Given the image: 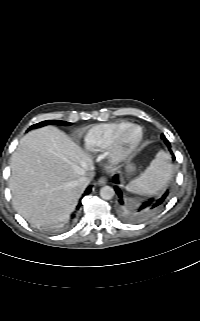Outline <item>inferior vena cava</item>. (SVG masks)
I'll return each instance as SVG.
<instances>
[{
  "instance_id": "1",
  "label": "inferior vena cava",
  "mask_w": 200,
  "mask_h": 321,
  "mask_svg": "<svg viewBox=\"0 0 200 321\" xmlns=\"http://www.w3.org/2000/svg\"><path fill=\"white\" fill-rule=\"evenodd\" d=\"M91 182V178L88 176H83L80 177L77 181H76V185L81 188V189H85Z\"/></svg>"
}]
</instances>
